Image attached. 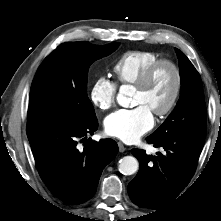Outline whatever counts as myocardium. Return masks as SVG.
Instances as JSON below:
<instances>
[{
  "mask_svg": "<svg viewBox=\"0 0 221 221\" xmlns=\"http://www.w3.org/2000/svg\"><path fill=\"white\" fill-rule=\"evenodd\" d=\"M162 66H169L174 72V87L172 95L164 108L153 112L158 117H165L170 114L175 108L182 90L183 76L182 71L178 64L171 59L162 58L150 64L140 75L135 82L134 87L139 90H143L149 84L156 71Z\"/></svg>",
  "mask_w": 221,
  "mask_h": 221,
  "instance_id": "myocardium-1",
  "label": "myocardium"
}]
</instances>
